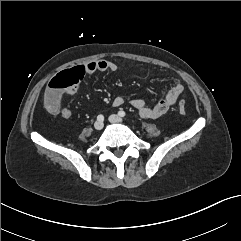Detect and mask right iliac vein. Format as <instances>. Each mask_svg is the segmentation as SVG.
I'll use <instances>...</instances> for the list:
<instances>
[{
    "instance_id": "obj_1",
    "label": "right iliac vein",
    "mask_w": 241,
    "mask_h": 241,
    "mask_svg": "<svg viewBox=\"0 0 241 241\" xmlns=\"http://www.w3.org/2000/svg\"><path fill=\"white\" fill-rule=\"evenodd\" d=\"M103 126H104V124H103L102 121H96V122L94 123V128H95L96 130H101V129L103 128Z\"/></svg>"
}]
</instances>
